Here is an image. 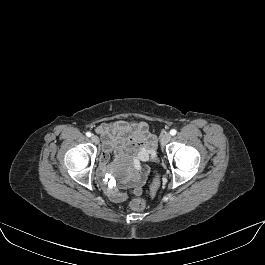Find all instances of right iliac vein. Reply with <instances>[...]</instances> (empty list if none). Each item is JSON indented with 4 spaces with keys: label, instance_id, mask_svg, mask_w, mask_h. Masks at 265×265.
<instances>
[{
    "label": "right iliac vein",
    "instance_id": "1",
    "mask_svg": "<svg viewBox=\"0 0 265 265\" xmlns=\"http://www.w3.org/2000/svg\"><path fill=\"white\" fill-rule=\"evenodd\" d=\"M91 140H92V142H94L95 144H98V143H99V138H98V136H96V135H92Z\"/></svg>",
    "mask_w": 265,
    "mask_h": 265
}]
</instances>
